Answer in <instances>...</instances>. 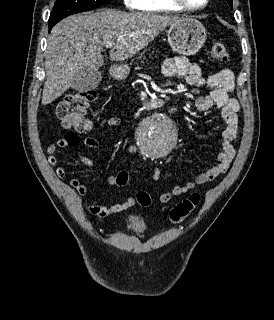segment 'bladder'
<instances>
[{"label": "bladder", "mask_w": 274, "mask_h": 320, "mask_svg": "<svg viewBox=\"0 0 274 320\" xmlns=\"http://www.w3.org/2000/svg\"><path fill=\"white\" fill-rule=\"evenodd\" d=\"M127 227L132 232L139 233V232H142L145 230L146 223L142 218H140L138 216H132L128 220Z\"/></svg>", "instance_id": "31cf9c89"}]
</instances>
